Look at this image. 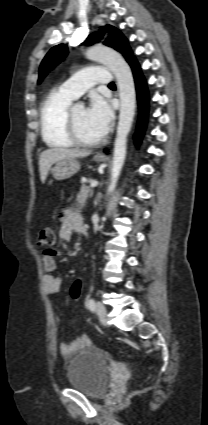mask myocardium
<instances>
[{
    "instance_id": "1",
    "label": "myocardium",
    "mask_w": 208,
    "mask_h": 425,
    "mask_svg": "<svg viewBox=\"0 0 208 425\" xmlns=\"http://www.w3.org/2000/svg\"><path fill=\"white\" fill-rule=\"evenodd\" d=\"M65 120H66L68 136L74 145L79 147H94L99 145L102 142V138H99L97 140L87 141L80 137L77 131L75 120H74V106H70L69 109L67 110Z\"/></svg>"
}]
</instances>
